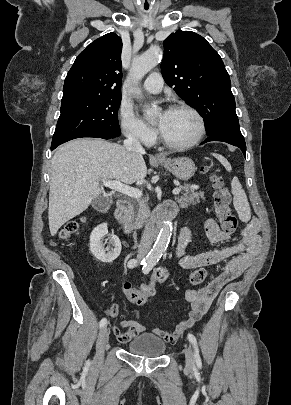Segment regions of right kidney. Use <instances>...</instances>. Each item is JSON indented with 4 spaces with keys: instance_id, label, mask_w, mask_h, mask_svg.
Wrapping results in <instances>:
<instances>
[{
    "instance_id": "ca27d5eb",
    "label": "right kidney",
    "mask_w": 291,
    "mask_h": 405,
    "mask_svg": "<svg viewBox=\"0 0 291 405\" xmlns=\"http://www.w3.org/2000/svg\"><path fill=\"white\" fill-rule=\"evenodd\" d=\"M107 234V223H103L94 228L90 235V251L96 259L103 263H111L114 261L120 255L122 248L120 239L115 235L109 236L113 248H104L103 239Z\"/></svg>"
}]
</instances>
